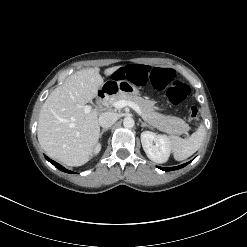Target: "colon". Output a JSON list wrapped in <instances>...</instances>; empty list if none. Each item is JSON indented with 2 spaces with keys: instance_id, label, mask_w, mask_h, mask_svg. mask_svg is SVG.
I'll return each mask as SVG.
<instances>
[{
  "instance_id": "1",
  "label": "colon",
  "mask_w": 247,
  "mask_h": 247,
  "mask_svg": "<svg viewBox=\"0 0 247 247\" xmlns=\"http://www.w3.org/2000/svg\"><path fill=\"white\" fill-rule=\"evenodd\" d=\"M109 76L117 84L126 81L138 86L147 84L157 89H166V95L174 105L182 103L190 94L189 86L175 79L174 71L170 68H153L144 63L139 65L132 63L117 64L110 69ZM188 119L191 122H197V107L191 106L188 109Z\"/></svg>"
}]
</instances>
